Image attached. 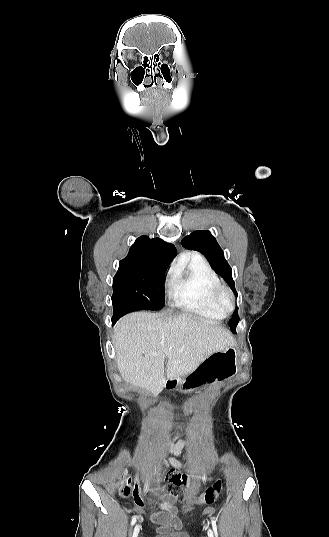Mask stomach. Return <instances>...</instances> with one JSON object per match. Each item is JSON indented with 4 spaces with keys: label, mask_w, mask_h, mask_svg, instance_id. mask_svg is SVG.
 Masks as SVG:
<instances>
[{
    "label": "stomach",
    "mask_w": 329,
    "mask_h": 537,
    "mask_svg": "<svg viewBox=\"0 0 329 537\" xmlns=\"http://www.w3.org/2000/svg\"><path fill=\"white\" fill-rule=\"evenodd\" d=\"M237 359L238 349L235 345L222 351L214 352L190 374L168 379L169 388L175 389L179 387L185 391H192L202 385L224 381L235 375Z\"/></svg>",
    "instance_id": "obj_1"
}]
</instances>
